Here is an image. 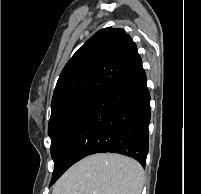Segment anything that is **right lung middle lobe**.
Instances as JSON below:
<instances>
[{
    "label": "right lung middle lobe",
    "mask_w": 201,
    "mask_h": 194,
    "mask_svg": "<svg viewBox=\"0 0 201 194\" xmlns=\"http://www.w3.org/2000/svg\"><path fill=\"white\" fill-rule=\"evenodd\" d=\"M98 95H86L64 101L51 108V117L48 125V133L51 138L50 152L54 156L55 150L59 144L60 138L68 125L86 109ZM56 174V165L53 171L52 179Z\"/></svg>",
    "instance_id": "obj_1"
}]
</instances>
